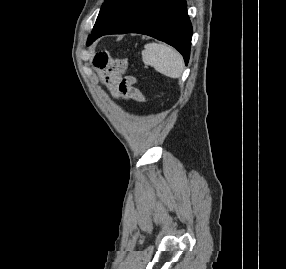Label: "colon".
I'll use <instances>...</instances> for the list:
<instances>
[{"label":"colon","instance_id":"obj_1","mask_svg":"<svg viewBox=\"0 0 286 269\" xmlns=\"http://www.w3.org/2000/svg\"><path fill=\"white\" fill-rule=\"evenodd\" d=\"M116 70H125V65H116ZM121 88H124L122 90V95H124V100H131V105H136V101L141 102L143 100V94L138 89L139 83H134V79L131 77H122L121 82Z\"/></svg>","mask_w":286,"mask_h":269}]
</instances>
